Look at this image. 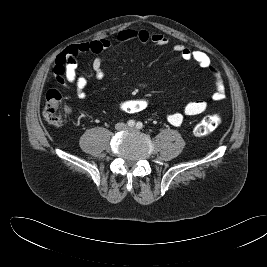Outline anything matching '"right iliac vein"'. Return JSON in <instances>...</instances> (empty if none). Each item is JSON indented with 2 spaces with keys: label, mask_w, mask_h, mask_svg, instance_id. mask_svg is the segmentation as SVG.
I'll return each instance as SVG.
<instances>
[{
  "label": "right iliac vein",
  "mask_w": 267,
  "mask_h": 267,
  "mask_svg": "<svg viewBox=\"0 0 267 267\" xmlns=\"http://www.w3.org/2000/svg\"><path fill=\"white\" fill-rule=\"evenodd\" d=\"M116 128H117L118 130H124V129H126V126H125L124 124H118V125L116 126Z\"/></svg>",
  "instance_id": "right-iliac-vein-1"
}]
</instances>
